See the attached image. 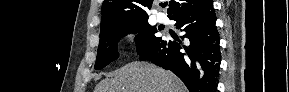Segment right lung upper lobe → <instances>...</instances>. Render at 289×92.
Masks as SVG:
<instances>
[{"label":"right lung upper lobe","instance_id":"1","mask_svg":"<svg viewBox=\"0 0 289 92\" xmlns=\"http://www.w3.org/2000/svg\"><path fill=\"white\" fill-rule=\"evenodd\" d=\"M207 0H172L169 2L168 16L194 9ZM153 0H104L100 31L116 23L135 21L148 18Z\"/></svg>","mask_w":289,"mask_h":92}]
</instances>
